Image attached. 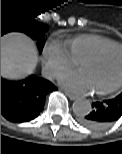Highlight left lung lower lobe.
<instances>
[{"instance_id":"left-lung-lower-lobe-1","label":"left lung lower lobe","mask_w":122,"mask_h":154,"mask_svg":"<svg viewBox=\"0 0 122 154\" xmlns=\"http://www.w3.org/2000/svg\"><path fill=\"white\" fill-rule=\"evenodd\" d=\"M93 110L80 117V123L93 130L109 127L122 116V93L113 99L92 103Z\"/></svg>"}]
</instances>
